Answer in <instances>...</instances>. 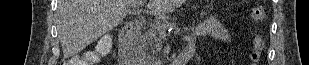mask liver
<instances>
[{
	"label": "liver",
	"instance_id": "6515ba94",
	"mask_svg": "<svg viewBox=\"0 0 309 65\" xmlns=\"http://www.w3.org/2000/svg\"><path fill=\"white\" fill-rule=\"evenodd\" d=\"M135 0H59L57 30L65 58L81 52L123 21ZM184 0H148L152 13H168Z\"/></svg>",
	"mask_w": 309,
	"mask_h": 65
}]
</instances>
